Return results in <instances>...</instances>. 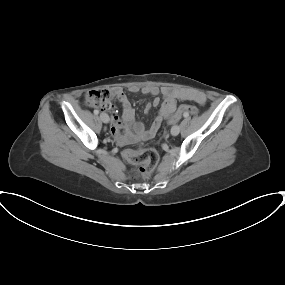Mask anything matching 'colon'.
Instances as JSON below:
<instances>
[{"instance_id": "colon-1", "label": "colon", "mask_w": 285, "mask_h": 285, "mask_svg": "<svg viewBox=\"0 0 285 285\" xmlns=\"http://www.w3.org/2000/svg\"><path fill=\"white\" fill-rule=\"evenodd\" d=\"M114 95L111 90L98 89L91 90L85 94L84 102L89 107H96L101 109H110L113 106ZM197 108L194 106H181L179 110L171 117L170 121L175 122L181 118L182 115L196 114ZM124 158L137 165L129 172V176L133 179L149 178L158 162V152L151 147L139 149H127L123 152Z\"/></svg>"}]
</instances>
